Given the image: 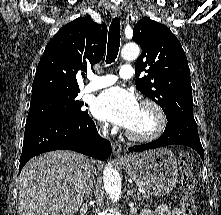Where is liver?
I'll return each instance as SVG.
<instances>
[{
    "instance_id": "1",
    "label": "liver",
    "mask_w": 221,
    "mask_h": 215,
    "mask_svg": "<svg viewBox=\"0 0 221 215\" xmlns=\"http://www.w3.org/2000/svg\"><path fill=\"white\" fill-rule=\"evenodd\" d=\"M92 162L57 150L34 157L19 176V215H74L82 205Z\"/></svg>"
}]
</instances>
